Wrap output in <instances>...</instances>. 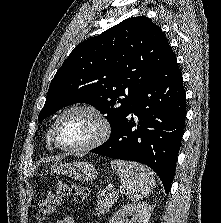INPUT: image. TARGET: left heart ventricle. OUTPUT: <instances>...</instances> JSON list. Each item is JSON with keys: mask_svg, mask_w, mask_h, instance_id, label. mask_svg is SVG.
<instances>
[{"mask_svg": "<svg viewBox=\"0 0 221 223\" xmlns=\"http://www.w3.org/2000/svg\"><path fill=\"white\" fill-rule=\"evenodd\" d=\"M97 119L88 112L73 111L66 114L57 128V139L64 146H81L99 132Z\"/></svg>", "mask_w": 221, "mask_h": 223, "instance_id": "left-heart-ventricle-1", "label": "left heart ventricle"}]
</instances>
